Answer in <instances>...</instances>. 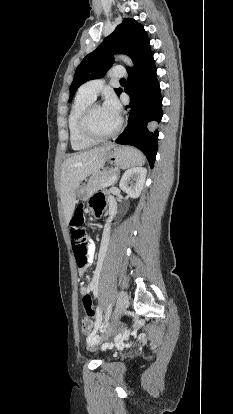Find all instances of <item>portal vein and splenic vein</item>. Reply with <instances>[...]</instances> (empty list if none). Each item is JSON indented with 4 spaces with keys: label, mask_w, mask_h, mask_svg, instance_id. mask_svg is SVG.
Masks as SVG:
<instances>
[{
    "label": "portal vein and splenic vein",
    "mask_w": 233,
    "mask_h": 414,
    "mask_svg": "<svg viewBox=\"0 0 233 414\" xmlns=\"http://www.w3.org/2000/svg\"><path fill=\"white\" fill-rule=\"evenodd\" d=\"M116 179H117V177L116 176H113L108 182H107V184H106V186H110V185H112L115 181H116Z\"/></svg>",
    "instance_id": "obj_1"
}]
</instances>
